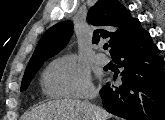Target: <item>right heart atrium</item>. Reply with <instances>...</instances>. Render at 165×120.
<instances>
[{
    "label": "right heart atrium",
    "instance_id": "1",
    "mask_svg": "<svg viewBox=\"0 0 165 120\" xmlns=\"http://www.w3.org/2000/svg\"><path fill=\"white\" fill-rule=\"evenodd\" d=\"M43 81L51 96L86 99L95 93L88 71L70 56L51 62L44 72Z\"/></svg>",
    "mask_w": 165,
    "mask_h": 120
}]
</instances>
